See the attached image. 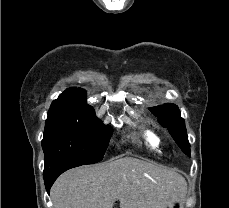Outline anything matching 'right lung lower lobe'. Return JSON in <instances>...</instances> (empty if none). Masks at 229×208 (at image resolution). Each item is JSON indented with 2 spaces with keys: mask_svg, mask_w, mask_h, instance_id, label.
Here are the masks:
<instances>
[{
  "mask_svg": "<svg viewBox=\"0 0 229 208\" xmlns=\"http://www.w3.org/2000/svg\"><path fill=\"white\" fill-rule=\"evenodd\" d=\"M81 166L78 163H66L61 164L51 170L44 171V182L47 192L49 193L51 186L53 185L54 181L58 178L59 175H61L63 172H65L68 169Z\"/></svg>",
  "mask_w": 229,
  "mask_h": 208,
  "instance_id": "right-lung-lower-lobe-1",
  "label": "right lung lower lobe"
}]
</instances>
